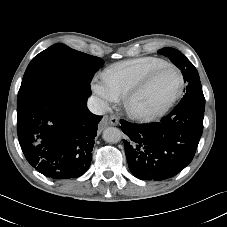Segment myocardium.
Returning <instances> with one entry per match:
<instances>
[{"label": "myocardium", "mask_w": 227, "mask_h": 227, "mask_svg": "<svg viewBox=\"0 0 227 227\" xmlns=\"http://www.w3.org/2000/svg\"><path fill=\"white\" fill-rule=\"evenodd\" d=\"M169 68L175 69L179 74V87L176 93L172 96V98L160 109L153 112H140L134 110L131 106L132 101L151 84V82L159 73ZM183 90H184L183 72L176 65L168 63L150 72L137 85L130 89L123 97V106L128 115L131 116L132 118L141 121H152L165 115L170 110V108L175 104V102L180 98L181 94L183 93Z\"/></svg>", "instance_id": "f54148a6"}]
</instances>
